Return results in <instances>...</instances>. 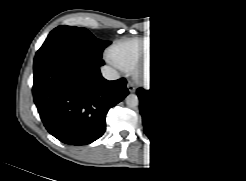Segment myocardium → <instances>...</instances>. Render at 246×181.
<instances>
[{
    "label": "myocardium",
    "mask_w": 246,
    "mask_h": 181,
    "mask_svg": "<svg viewBox=\"0 0 246 181\" xmlns=\"http://www.w3.org/2000/svg\"><path fill=\"white\" fill-rule=\"evenodd\" d=\"M164 46H158L156 47L153 51H151L143 60L141 63V66L143 68H147L151 65V63L153 62V60L157 57V55L159 54V52L162 50ZM176 66L171 70L170 74L166 77H164V80H167L171 77V75L173 74V72L175 71Z\"/></svg>",
    "instance_id": "1"
}]
</instances>
